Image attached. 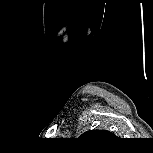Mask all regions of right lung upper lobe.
<instances>
[{
  "instance_id": "right-lung-upper-lobe-1",
  "label": "right lung upper lobe",
  "mask_w": 153,
  "mask_h": 153,
  "mask_svg": "<svg viewBox=\"0 0 153 153\" xmlns=\"http://www.w3.org/2000/svg\"><path fill=\"white\" fill-rule=\"evenodd\" d=\"M99 137H114V135L106 130H90L80 136V138L84 139H93Z\"/></svg>"
}]
</instances>
